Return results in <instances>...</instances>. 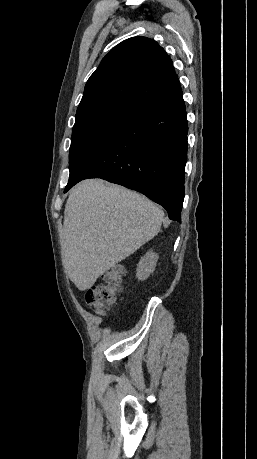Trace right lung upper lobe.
<instances>
[{"label":"right lung upper lobe","mask_w":257,"mask_h":459,"mask_svg":"<svg viewBox=\"0 0 257 459\" xmlns=\"http://www.w3.org/2000/svg\"><path fill=\"white\" fill-rule=\"evenodd\" d=\"M179 83L164 49L146 37H132L114 47L90 76L76 117L110 107L138 110Z\"/></svg>","instance_id":"obj_1"}]
</instances>
